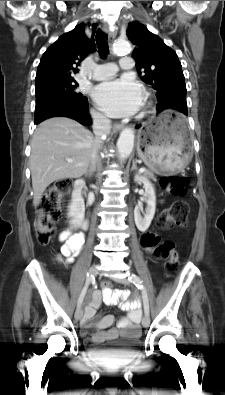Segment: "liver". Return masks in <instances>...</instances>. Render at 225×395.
Here are the masks:
<instances>
[{
    "instance_id": "obj_1",
    "label": "liver",
    "mask_w": 225,
    "mask_h": 395,
    "mask_svg": "<svg viewBox=\"0 0 225 395\" xmlns=\"http://www.w3.org/2000/svg\"><path fill=\"white\" fill-rule=\"evenodd\" d=\"M94 140L88 129L70 118H50L38 125L30 155L34 206L54 181L78 178L87 172Z\"/></svg>"
}]
</instances>
